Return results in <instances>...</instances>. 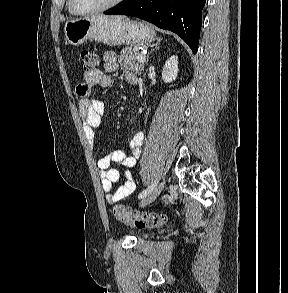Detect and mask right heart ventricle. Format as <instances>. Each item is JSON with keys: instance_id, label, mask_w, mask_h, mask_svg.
Here are the masks:
<instances>
[{"instance_id": "right-heart-ventricle-1", "label": "right heart ventricle", "mask_w": 288, "mask_h": 293, "mask_svg": "<svg viewBox=\"0 0 288 293\" xmlns=\"http://www.w3.org/2000/svg\"><path fill=\"white\" fill-rule=\"evenodd\" d=\"M68 10L71 14L76 15V13L71 9L69 2H68Z\"/></svg>"}]
</instances>
